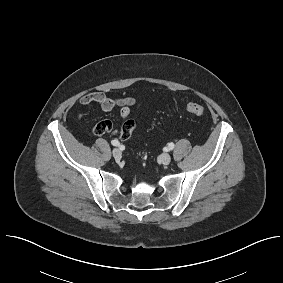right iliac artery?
<instances>
[{
    "label": "right iliac artery",
    "instance_id": "right-iliac-artery-1",
    "mask_svg": "<svg viewBox=\"0 0 283 283\" xmlns=\"http://www.w3.org/2000/svg\"><path fill=\"white\" fill-rule=\"evenodd\" d=\"M111 144H112L113 146H119V145H120V143H119L118 140H112V141H111Z\"/></svg>",
    "mask_w": 283,
    "mask_h": 283
}]
</instances>
